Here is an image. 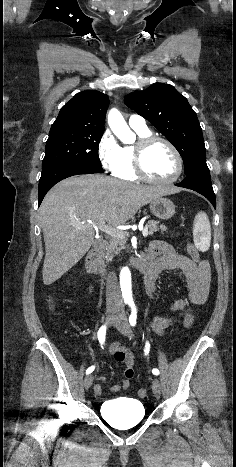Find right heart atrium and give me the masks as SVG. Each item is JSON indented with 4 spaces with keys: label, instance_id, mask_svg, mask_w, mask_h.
I'll return each mask as SVG.
<instances>
[{
    "label": "right heart atrium",
    "instance_id": "d8ad5b80",
    "mask_svg": "<svg viewBox=\"0 0 236 467\" xmlns=\"http://www.w3.org/2000/svg\"><path fill=\"white\" fill-rule=\"evenodd\" d=\"M97 156L105 170L114 172L121 164L122 147L109 130L104 131L98 141Z\"/></svg>",
    "mask_w": 236,
    "mask_h": 467
}]
</instances>
